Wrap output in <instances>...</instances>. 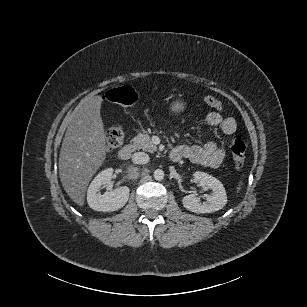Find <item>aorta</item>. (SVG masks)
I'll return each instance as SVG.
<instances>
[{
    "mask_svg": "<svg viewBox=\"0 0 307 307\" xmlns=\"http://www.w3.org/2000/svg\"><path fill=\"white\" fill-rule=\"evenodd\" d=\"M164 176V171L160 169L155 170L153 173V177L156 181H162L164 179Z\"/></svg>",
    "mask_w": 307,
    "mask_h": 307,
    "instance_id": "762f6f07",
    "label": "aorta"
}]
</instances>
